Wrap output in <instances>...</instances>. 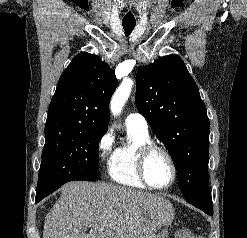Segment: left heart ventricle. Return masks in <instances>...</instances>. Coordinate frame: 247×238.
I'll return each mask as SVG.
<instances>
[{
	"mask_svg": "<svg viewBox=\"0 0 247 238\" xmlns=\"http://www.w3.org/2000/svg\"><path fill=\"white\" fill-rule=\"evenodd\" d=\"M146 174L151 184L164 186L172 177V169L167 158L158 151L153 152L146 163Z\"/></svg>",
	"mask_w": 247,
	"mask_h": 238,
	"instance_id": "1",
	"label": "left heart ventricle"
}]
</instances>
